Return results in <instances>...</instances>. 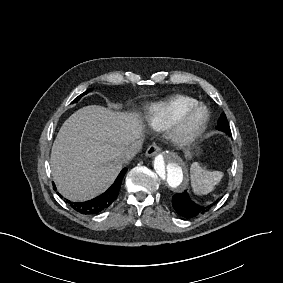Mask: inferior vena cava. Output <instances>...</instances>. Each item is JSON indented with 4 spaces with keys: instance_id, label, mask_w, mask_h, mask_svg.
<instances>
[{
    "instance_id": "obj_1",
    "label": "inferior vena cava",
    "mask_w": 283,
    "mask_h": 283,
    "mask_svg": "<svg viewBox=\"0 0 283 283\" xmlns=\"http://www.w3.org/2000/svg\"><path fill=\"white\" fill-rule=\"evenodd\" d=\"M140 149H141V141L139 140L134 141L133 143L125 147L124 151L119 156V159L122 162L130 160L132 157H134L139 153Z\"/></svg>"
}]
</instances>
